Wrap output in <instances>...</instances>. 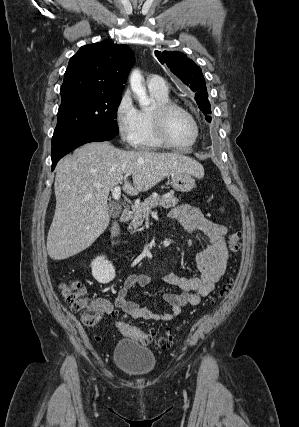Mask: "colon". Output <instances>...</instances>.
<instances>
[{
	"label": "colon",
	"instance_id": "colon-1",
	"mask_svg": "<svg viewBox=\"0 0 299 427\" xmlns=\"http://www.w3.org/2000/svg\"><path fill=\"white\" fill-rule=\"evenodd\" d=\"M229 249L232 252H237L239 249V234L232 232L229 237ZM232 278H226L220 288L219 296L226 297L232 287ZM61 292L66 302L70 305L74 312L82 315L85 325L89 327L95 326L101 318L102 310L92 303L86 297L85 287L79 280H71L61 285ZM118 330L131 338H134L141 344L154 343L159 348H167L173 343V337L169 334L156 337L155 334L145 332L131 323L119 321L117 323Z\"/></svg>",
	"mask_w": 299,
	"mask_h": 427
}]
</instances>
